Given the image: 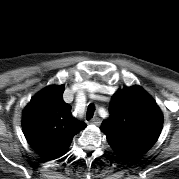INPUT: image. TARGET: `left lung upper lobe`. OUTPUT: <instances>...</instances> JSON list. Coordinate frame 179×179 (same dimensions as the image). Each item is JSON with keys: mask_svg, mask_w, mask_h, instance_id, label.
Wrapping results in <instances>:
<instances>
[{"mask_svg": "<svg viewBox=\"0 0 179 179\" xmlns=\"http://www.w3.org/2000/svg\"><path fill=\"white\" fill-rule=\"evenodd\" d=\"M111 118L101 130L110 145L150 148L162 130L163 118L156 104L135 87L118 91L111 106Z\"/></svg>", "mask_w": 179, "mask_h": 179, "instance_id": "obj_1", "label": "left lung upper lobe"}]
</instances>
